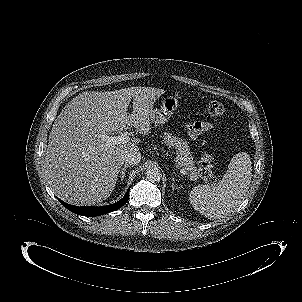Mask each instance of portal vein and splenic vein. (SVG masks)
<instances>
[{
	"label": "portal vein and splenic vein",
	"mask_w": 302,
	"mask_h": 302,
	"mask_svg": "<svg viewBox=\"0 0 302 302\" xmlns=\"http://www.w3.org/2000/svg\"><path fill=\"white\" fill-rule=\"evenodd\" d=\"M106 147H111L116 144H122L129 141V136L127 133H122L118 136H104ZM180 173L187 175V172L184 169H180Z\"/></svg>",
	"instance_id": "1"
}]
</instances>
